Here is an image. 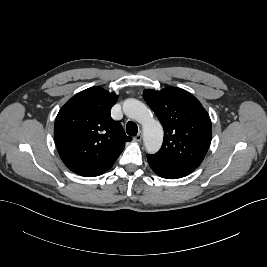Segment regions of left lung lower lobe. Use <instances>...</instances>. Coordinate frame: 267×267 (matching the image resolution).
<instances>
[{"label":"left lung lower lobe","mask_w":267,"mask_h":267,"mask_svg":"<svg viewBox=\"0 0 267 267\" xmlns=\"http://www.w3.org/2000/svg\"><path fill=\"white\" fill-rule=\"evenodd\" d=\"M151 169L160 177L167 179H176L187 176L195 170V168L180 165L164 164L152 160L147 157Z\"/></svg>","instance_id":"obj_1"}]
</instances>
